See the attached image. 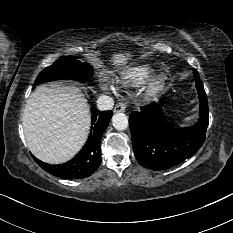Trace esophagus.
I'll return each instance as SVG.
<instances>
[{
	"label": "esophagus",
	"instance_id": "obj_1",
	"mask_svg": "<svg viewBox=\"0 0 233 233\" xmlns=\"http://www.w3.org/2000/svg\"><path fill=\"white\" fill-rule=\"evenodd\" d=\"M126 108V104L123 102H119L116 104L114 108V112H124Z\"/></svg>",
	"mask_w": 233,
	"mask_h": 233
}]
</instances>
